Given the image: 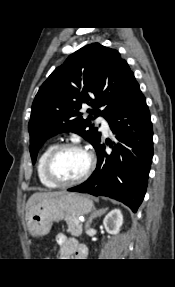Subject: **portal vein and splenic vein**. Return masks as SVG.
Masks as SVG:
<instances>
[{"label": "portal vein and splenic vein", "instance_id": "obj_1", "mask_svg": "<svg viewBox=\"0 0 175 287\" xmlns=\"http://www.w3.org/2000/svg\"><path fill=\"white\" fill-rule=\"evenodd\" d=\"M79 222H84V219L82 218V219H79Z\"/></svg>", "mask_w": 175, "mask_h": 287}]
</instances>
